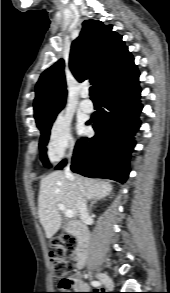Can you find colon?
Listing matches in <instances>:
<instances>
[{
	"label": "colon",
	"mask_w": 170,
	"mask_h": 293,
	"mask_svg": "<svg viewBox=\"0 0 170 293\" xmlns=\"http://www.w3.org/2000/svg\"><path fill=\"white\" fill-rule=\"evenodd\" d=\"M51 244L57 247V251L51 255V263L56 278L59 279L58 291L55 293H67L74 287V281L68 277L71 268L69 259L77 250V240L74 237H64L52 240Z\"/></svg>",
	"instance_id": "colon-1"
}]
</instances>
